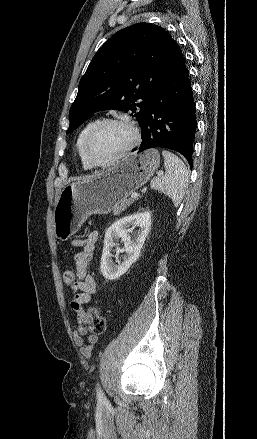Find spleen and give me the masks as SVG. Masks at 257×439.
I'll return each instance as SVG.
<instances>
[{"mask_svg":"<svg viewBox=\"0 0 257 439\" xmlns=\"http://www.w3.org/2000/svg\"><path fill=\"white\" fill-rule=\"evenodd\" d=\"M165 174L151 180V188L167 195L175 207L181 203L188 186V170L183 161L168 150H163Z\"/></svg>","mask_w":257,"mask_h":439,"instance_id":"spleen-1","label":"spleen"}]
</instances>
